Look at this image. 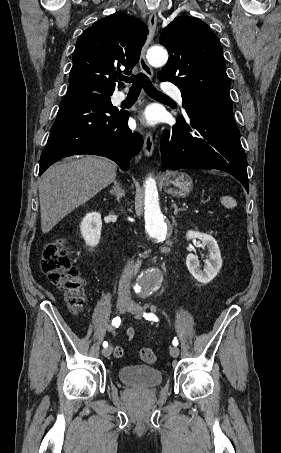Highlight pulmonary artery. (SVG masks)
I'll return each instance as SVG.
<instances>
[{
	"mask_svg": "<svg viewBox=\"0 0 281 453\" xmlns=\"http://www.w3.org/2000/svg\"><path fill=\"white\" fill-rule=\"evenodd\" d=\"M171 97H173L177 102H182V92L179 89H175L169 92ZM126 99V95L123 91H116L112 97L111 101L115 104L121 103Z\"/></svg>",
	"mask_w": 281,
	"mask_h": 453,
	"instance_id": "1",
	"label": "pulmonary artery"
}]
</instances>
